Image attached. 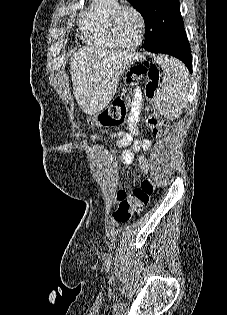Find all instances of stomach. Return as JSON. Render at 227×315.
Masks as SVG:
<instances>
[{"label":"stomach","instance_id":"0dacf381","mask_svg":"<svg viewBox=\"0 0 227 315\" xmlns=\"http://www.w3.org/2000/svg\"><path fill=\"white\" fill-rule=\"evenodd\" d=\"M100 116V114H97L96 116H95V119H94V121L97 123V124H99L100 123V121L98 120V117Z\"/></svg>","mask_w":227,"mask_h":315}]
</instances>
